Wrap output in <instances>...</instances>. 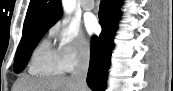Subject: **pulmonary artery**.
<instances>
[{
	"label": "pulmonary artery",
	"mask_w": 173,
	"mask_h": 91,
	"mask_svg": "<svg viewBox=\"0 0 173 91\" xmlns=\"http://www.w3.org/2000/svg\"><path fill=\"white\" fill-rule=\"evenodd\" d=\"M81 6L84 10L90 11L94 8L95 2L93 0H83L81 1Z\"/></svg>",
	"instance_id": "obj_1"
}]
</instances>
